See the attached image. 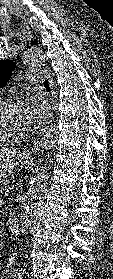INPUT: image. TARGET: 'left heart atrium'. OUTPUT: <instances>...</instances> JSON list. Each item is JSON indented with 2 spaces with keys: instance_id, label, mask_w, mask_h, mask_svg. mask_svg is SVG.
<instances>
[{
  "instance_id": "39dd6f15",
  "label": "left heart atrium",
  "mask_w": 113,
  "mask_h": 279,
  "mask_svg": "<svg viewBox=\"0 0 113 279\" xmlns=\"http://www.w3.org/2000/svg\"><path fill=\"white\" fill-rule=\"evenodd\" d=\"M22 117L27 131L34 130L41 123L43 116L47 113L44 104L35 99H27L21 107Z\"/></svg>"
}]
</instances>
